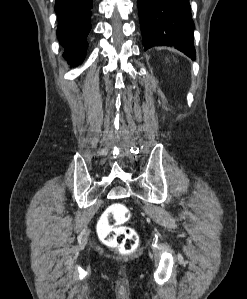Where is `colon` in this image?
Returning a JSON list of instances; mask_svg holds the SVG:
<instances>
[{
    "instance_id": "1",
    "label": "colon",
    "mask_w": 247,
    "mask_h": 299,
    "mask_svg": "<svg viewBox=\"0 0 247 299\" xmlns=\"http://www.w3.org/2000/svg\"><path fill=\"white\" fill-rule=\"evenodd\" d=\"M129 217L128 208L115 203L106 209L99 223L103 241L109 246L116 247L123 254L135 251L139 242L136 231L125 225Z\"/></svg>"
}]
</instances>
